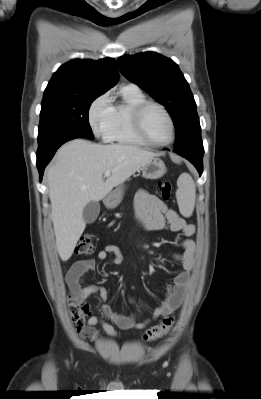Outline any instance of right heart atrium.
<instances>
[{
    "label": "right heart atrium",
    "mask_w": 261,
    "mask_h": 399,
    "mask_svg": "<svg viewBox=\"0 0 261 399\" xmlns=\"http://www.w3.org/2000/svg\"><path fill=\"white\" fill-rule=\"evenodd\" d=\"M112 103L108 93L96 98L89 107L88 121L93 134L102 139H107L111 127Z\"/></svg>",
    "instance_id": "d8ad5b80"
}]
</instances>
